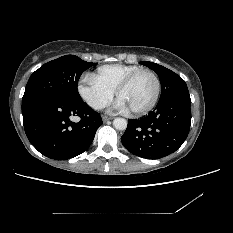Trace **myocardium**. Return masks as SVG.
Returning <instances> with one entry per match:
<instances>
[{
  "mask_svg": "<svg viewBox=\"0 0 233 233\" xmlns=\"http://www.w3.org/2000/svg\"><path fill=\"white\" fill-rule=\"evenodd\" d=\"M143 73H148L150 74L154 81H155V93H154V96L152 98V100L150 101V103L143 107V108H140V109H134V110H129L131 114L133 115H142V114H146L148 113L149 111H151L155 105L157 104L158 102V99L160 97V93H161V82H160V79L158 77V75L156 74V72H154L153 70L151 69H139L133 73H131L129 76H127L122 82L121 84L117 87L116 91H115V94L117 96V98H119L120 94L125 90L127 89L131 84L132 82L140 75V74H143Z\"/></svg>",
  "mask_w": 233,
  "mask_h": 233,
  "instance_id": "obj_1",
  "label": "myocardium"
}]
</instances>
